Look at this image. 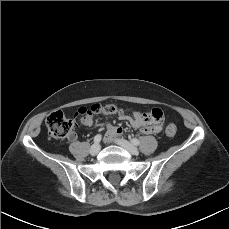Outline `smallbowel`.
<instances>
[{
  "label": "small bowel",
  "mask_w": 229,
  "mask_h": 229,
  "mask_svg": "<svg viewBox=\"0 0 229 229\" xmlns=\"http://www.w3.org/2000/svg\"><path fill=\"white\" fill-rule=\"evenodd\" d=\"M146 113L135 111L132 115H126L120 113L118 115L120 120L128 122L134 128H141L142 133L150 134L155 132L149 127H146L147 124L145 120ZM81 123L85 126H92L94 124V119L91 115H86L81 118ZM123 134V129L120 126H115L112 124H106V139L112 141L114 138L120 137ZM71 138H75V135L72 134Z\"/></svg>",
  "instance_id": "small-bowel-1"
}]
</instances>
